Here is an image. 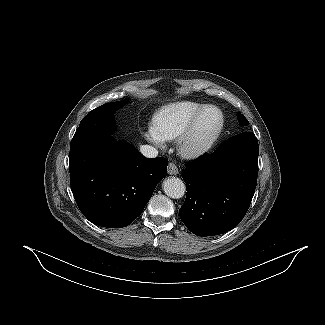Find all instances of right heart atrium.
Wrapping results in <instances>:
<instances>
[{"label": "right heart atrium", "instance_id": "1", "mask_svg": "<svg viewBox=\"0 0 325 325\" xmlns=\"http://www.w3.org/2000/svg\"><path fill=\"white\" fill-rule=\"evenodd\" d=\"M145 137L147 140L157 145H162L164 141L152 128H150L149 132L145 134Z\"/></svg>", "mask_w": 325, "mask_h": 325}]
</instances>
